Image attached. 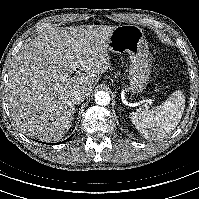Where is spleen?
Here are the masks:
<instances>
[{
  "label": "spleen",
  "instance_id": "spleen-1",
  "mask_svg": "<svg viewBox=\"0 0 199 199\" xmlns=\"http://www.w3.org/2000/svg\"><path fill=\"white\" fill-rule=\"evenodd\" d=\"M184 108V95L177 90L160 106L151 110L132 112L130 119L145 139H161L179 124Z\"/></svg>",
  "mask_w": 199,
  "mask_h": 199
}]
</instances>
